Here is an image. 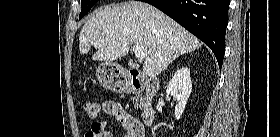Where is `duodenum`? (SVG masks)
I'll list each match as a JSON object with an SVG mask.
<instances>
[{"mask_svg": "<svg viewBox=\"0 0 280 137\" xmlns=\"http://www.w3.org/2000/svg\"><path fill=\"white\" fill-rule=\"evenodd\" d=\"M128 83L132 91L143 90L142 120L146 125H153L155 122V109L152 102L160 88L159 80L153 77L142 78L136 74H131Z\"/></svg>", "mask_w": 280, "mask_h": 137, "instance_id": "1", "label": "duodenum"}]
</instances>
